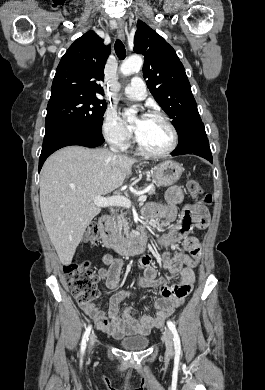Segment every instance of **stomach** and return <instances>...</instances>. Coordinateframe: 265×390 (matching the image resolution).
Returning <instances> with one entry per match:
<instances>
[{
    "mask_svg": "<svg viewBox=\"0 0 265 390\" xmlns=\"http://www.w3.org/2000/svg\"><path fill=\"white\" fill-rule=\"evenodd\" d=\"M183 167L172 160L160 163L152 169V178L157 186H170L177 182Z\"/></svg>",
    "mask_w": 265,
    "mask_h": 390,
    "instance_id": "0dacf381",
    "label": "stomach"
}]
</instances>
